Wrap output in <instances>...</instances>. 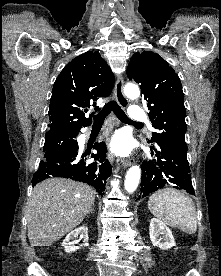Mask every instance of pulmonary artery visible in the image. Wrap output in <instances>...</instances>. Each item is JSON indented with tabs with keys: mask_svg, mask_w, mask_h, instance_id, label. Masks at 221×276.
Wrapping results in <instances>:
<instances>
[{
	"mask_svg": "<svg viewBox=\"0 0 221 276\" xmlns=\"http://www.w3.org/2000/svg\"><path fill=\"white\" fill-rule=\"evenodd\" d=\"M129 116H130V119L135 122L144 121L146 119V114L144 110L141 107L136 105H133L130 107Z\"/></svg>",
	"mask_w": 221,
	"mask_h": 276,
	"instance_id": "obj_1",
	"label": "pulmonary artery"
}]
</instances>
